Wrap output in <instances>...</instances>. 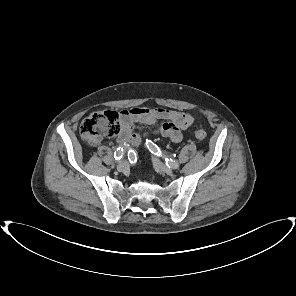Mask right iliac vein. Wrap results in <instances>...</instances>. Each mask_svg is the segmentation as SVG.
Listing matches in <instances>:
<instances>
[{
  "label": "right iliac vein",
  "mask_w": 296,
  "mask_h": 296,
  "mask_svg": "<svg viewBox=\"0 0 296 296\" xmlns=\"http://www.w3.org/2000/svg\"><path fill=\"white\" fill-rule=\"evenodd\" d=\"M127 168H128V163H127V161H121V162H119V164H118V166H117V169H118V171H120V172H124V171H126Z\"/></svg>",
  "instance_id": "obj_1"
}]
</instances>
